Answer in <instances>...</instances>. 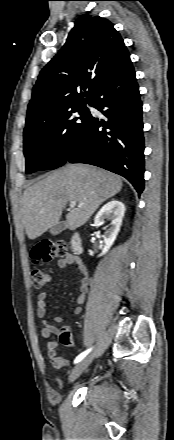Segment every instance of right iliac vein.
I'll return each mask as SVG.
<instances>
[{
	"label": "right iliac vein",
	"mask_w": 174,
	"mask_h": 440,
	"mask_svg": "<svg viewBox=\"0 0 174 440\" xmlns=\"http://www.w3.org/2000/svg\"><path fill=\"white\" fill-rule=\"evenodd\" d=\"M93 360V355H90L83 360H81L72 370L70 376H69V382H73L76 380L89 366V364Z\"/></svg>",
	"instance_id": "right-iliac-vein-1"
}]
</instances>
